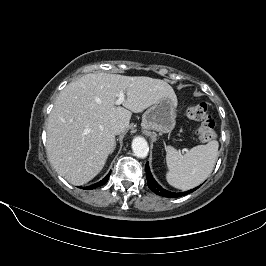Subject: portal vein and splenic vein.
Wrapping results in <instances>:
<instances>
[{
    "mask_svg": "<svg viewBox=\"0 0 266 266\" xmlns=\"http://www.w3.org/2000/svg\"><path fill=\"white\" fill-rule=\"evenodd\" d=\"M125 102V95L123 91L119 92L118 99L115 101V105H120Z\"/></svg>",
    "mask_w": 266,
    "mask_h": 266,
    "instance_id": "1",
    "label": "portal vein and splenic vein"
}]
</instances>
